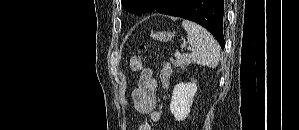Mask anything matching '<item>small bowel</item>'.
<instances>
[{"mask_svg": "<svg viewBox=\"0 0 299 130\" xmlns=\"http://www.w3.org/2000/svg\"><path fill=\"white\" fill-rule=\"evenodd\" d=\"M158 82L153 77L150 68H145L140 75L137 87L132 92V100L135 109L140 113L149 114L152 123H159L162 115L156 111ZM137 130H152L148 121H141Z\"/></svg>", "mask_w": 299, "mask_h": 130, "instance_id": "c3829d8e", "label": "small bowel"}]
</instances>
